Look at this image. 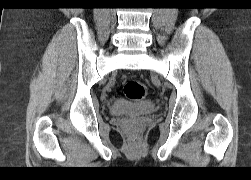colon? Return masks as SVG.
Returning a JSON list of instances; mask_svg holds the SVG:
<instances>
[{
  "mask_svg": "<svg viewBox=\"0 0 251 180\" xmlns=\"http://www.w3.org/2000/svg\"><path fill=\"white\" fill-rule=\"evenodd\" d=\"M125 96L130 100L139 101L146 97L147 87L138 80H129L124 84L123 88ZM137 137L133 136L132 141H136Z\"/></svg>",
  "mask_w": 251,
  "mask_h": 180,
  "instance_id": "obj_1",
  "label": "colon"
}]
</instances>
